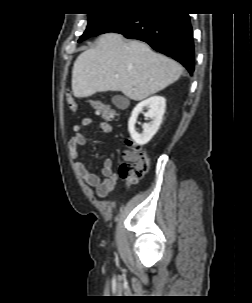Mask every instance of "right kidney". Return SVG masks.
I'll return each instance as SVG.
<instances>
[{"label":"right kidney","mask_w":252,"mask_h":303,"mask_svg":"<svg viewBox=\"0 0 252 303\" xmlns=\"http://www.w3.org/2000/svg\"><path fill=\"white\" fill-rule=\"evenodd\" d=\"M165 107L166 100L162 96L150 97L136 105L128 122L129 133L135 143L145 145L152 139L160 127ZM144 108H148V111L144 115L150 118L151 122L143 124V132L139 134L135 129V124L138 115L143 112Z\"/></svg>","instance_id":"right-kidney-1"}]
</instances>
